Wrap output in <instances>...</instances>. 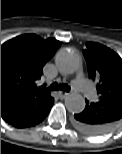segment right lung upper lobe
<instances>
[{
	"label": "right lung upper lobe",
	"instance_id": "cb5924a9",
	"mask_svg": "<svg viewBox=\"0 0 122 154\" xmlns=\"http://www.w3.org/2000/svg\"><path fill=\"white\" fill-rule=\"evenodd\" d=\"M60 41L34 34L15 37L1 45V116L13 125L44 110L53 100L37 87L43 66L55 54Z\"/></svg>",
	"mask_w": 122,
	"mask_h": 154
}]
</instances>
